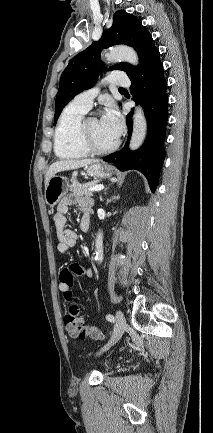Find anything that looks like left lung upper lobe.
Listing matches in <instances>:
<instances>
[{
	"label": "left lung upper lobe",
	"instance_id": "left-lung-upper-lobe-1",
	"mask_svg": "<svg viewBox=\"0 0 213 433\" xmlns=\"http://www.w3.org/2000/svg\"><path fill=\"white\" fill-rule=\"evenodd\" d=\"M116 44H126L135 48L139 56L140 66L148 53L155 48L151 34L137 17L124 10L117 11L113 16L111 28L104 31L98 42H93L77 54L62 73L55 101L54 122L57 121L63 108L74 96L94 86L98 74L103 68L100 58L102 49ZM111 69L123 70L128 76L137 70L129 63L116 64Z\"/></svg>",
	"mask_w": 213,
	"mask_h": 433
}]
</instances>
